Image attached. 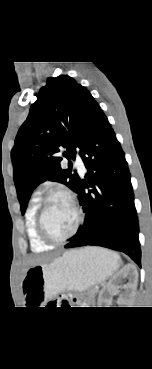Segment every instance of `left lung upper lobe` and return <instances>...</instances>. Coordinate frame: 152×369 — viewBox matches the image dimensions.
<instances>
[{"label":"left lung upper lobe","mask_w":152,"mask_h":369,"mask_svg":"<svg viewBox=\"0 0 152 369\" xmlns=\"http://www.w3.org/2000/svg\"><path fill=\"white\" fill-rule=\"evenodd\" d=\"M99 105L89 91L68 75L48 78L28 118L21 126L11 151L14 183L24 214L33 189L51 180L65 184L73 191L80 180L71 168L60 167L63 155L75 158Z\"/></svg>","instance_id":"1"}]
</instances>
